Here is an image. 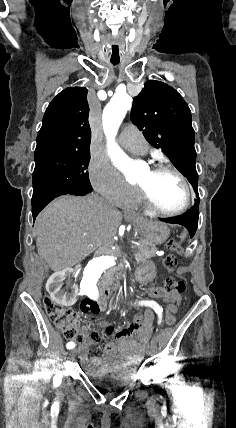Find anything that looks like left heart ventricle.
<instances>
[{
	"label": "left heart ventricle",
	"instance_id": "obj_1",
	"mask_svg": "<svg viewBox=\"0 0 236 428\" xmlns=\"http://www.w3.org/2000/svg\"><path fill=\"white\" fill-rule=\"evenodd\" d=\"M128 180L133 184L145 183L154 200L164 209H177L185 201L184 186L173 174L161 173L150 176L149 169H146Z\"/></svg>",
	"mask_w": 236,
	"mask_h": 428
}]
</instances>
